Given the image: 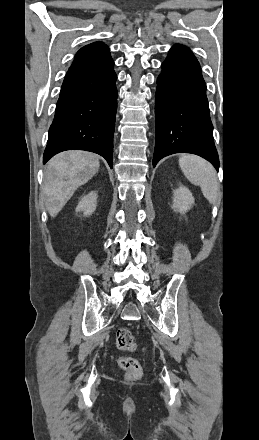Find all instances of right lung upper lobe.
Returning <instances> with one entry per match:
<instances>
[{
  "instance_id": "right-lung-upper-lobe-1",
  "label": "right lung upper lobe",
  "mask_w": 259,
  "mask_h": 440,
  "mask_svg": "<svg viewBox=\"0 0 259 440\" xmlns=\"http://www.w3.org/2000/svg\"><path fill=\"white\" fill-rule=\"evenodd\" d=\"M109 48L102 42H95L82 47L75 55L73 64L89 62L109 55Z\"/></svg>"
}]
</instances>
